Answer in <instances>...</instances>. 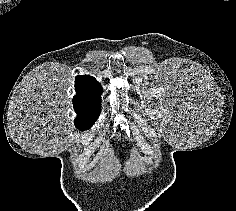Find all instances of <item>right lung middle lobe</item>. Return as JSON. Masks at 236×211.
I'll use <instances>...</instances> for the list:
<instances>
[{
    "mask_svg": "<svg viewBox=\"0 0 236 211\" xmlns=\"http://www.w3.org/2000/svg\"><path fill=\"white\" fill-rule=\"evenodd\" d=\"M74 120L75 127L79 130H87L96 122L99 114H79Z\"/></svg>",
    "mask_w": 236,
    "mask_h": 211,
    "instance_id": "dd1d6c3e",
    "label": "right lung middle lobe"
}]
</instances>
